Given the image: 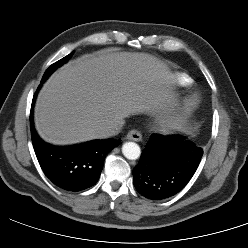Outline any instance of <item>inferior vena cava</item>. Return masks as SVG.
Wrapping results in <instances>:
<instances>
[{
    "label": "inferior vena cava",
    "instance_id": "602c4592",
    "mask_svg": "<svg viewBox=\"0 0 248 248\" xmlns=\"http://www.w3.org/2000/svg\"><path fill=\"white\" fill-rule=\"evenodd\" d=\"M122 129V125L121 124H112L110 125L107 130H106V136H113L118 134Z\"/></svg>",
    "mask_w": 248,
    "mask_h": 248
}]
</instances>
